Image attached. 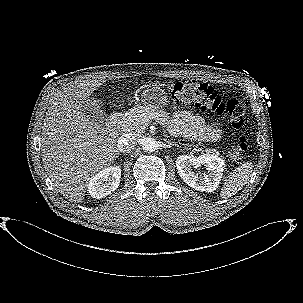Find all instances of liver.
I'll return each instance as SVG.
<instances>
[{"label":"liver","mask_w":303,"mask_h":303,"mask_svg":"<svg viewBox=\"0 0 303 303\" xmlns=\"http://www.w3.org/2000/svg\"><path fill=\"white\" fill-rule=\"evenodd\" d=\"M106 80H81L56 92L44 119L42 161L58 192L71 202L84 200L91 177L116 159L117 132L83 111L100 110L90 97ZM102 112V111H101Z\"/></svg>","instance_id":"obj_1"}]
</instances>
